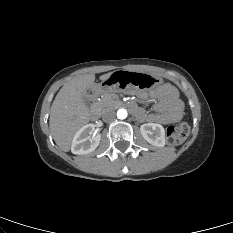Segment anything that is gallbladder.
<instances>
[{
    "label": "gallbladder",
    "instance_id": "bac80fb5",
    "mask_svg": "<svg viewBox=\"0 0 233 233\" xmlns=\"http://www.w3.org/2000/svg\"><path fill=\"white\" fill-rule=\"evenodd\" d=\"M84 102H85V104L87 105V106H90V101L89 100H87L86 98H84Z\"/></svg>",
    "mask_w": 233,
    "mask_h": 233
}]
</instances>
